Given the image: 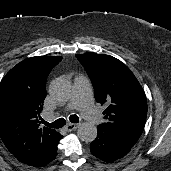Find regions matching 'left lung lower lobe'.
<instances>
[{
	"label": "left lung lower lobe",
	"instance_id": "0a47b994",
	"mask_svg": "<svg viewBox=\"0 0 171 171\" xmlns=\"http://www.w3.org/2000/svg\"><path fill=\"white\" fill-rule=\"evenodd\" d=\"M96 139L90 144L91 153L105 162L122 158L134 146L97 127Z\"/></svg>",
	"mask_w": 171,
	"mask_h": 171
}]
</instances>
